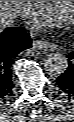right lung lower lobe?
<instances>
[{"label": "right lung lower lobe", "instance_id": "right-lung-lower-lobe-1", "mask_svg": "<svg viewBox=\"0 0 74 122\" xmlns=\"http://www.w3.org/2000/svg\"><path fill=\"white\" fill-rule=\"evenodd\" d=\"M31 47L32 40L23 27H9L0 32V98L11 92V66L14 60Z\"/></svg>", "mask_w": 74, "mask_h": 122}]
</instances>
